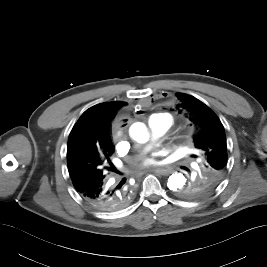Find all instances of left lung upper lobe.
<instances>
[{
	"mask_svg": "<svg viewBox=\"0 0 267 267\" xmlns=\"http://www.w3.org/2000/svg\"><path fill=\"white\" fill-rule=\"evenodd\" d=\"M177 97V110L187 114L198 130L193 139L202 157L201 171L178 192L184 199H194L211 193L224 177L227 170L226 136L221 121L208 106L185 93Z\"/></svg>",
	"mask_w": 267,
	"mask_h": 267,
	"instance_id": "left-lung-upper-lobe-1",
	"label": "left lung upper lobe"
}]
</instances>
